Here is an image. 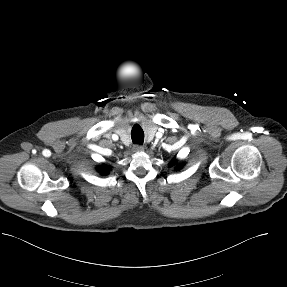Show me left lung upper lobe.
<instances>
[{"label": "left lung upper lobe", "mask_w": 287, "mask_h": 287, "mask_svg": "<svg viewBox=\"0 0 287 287\" xmlns=\"http://www.w3.org/2000/svg\"><path fill=\"white\" fill-rule=\"evenodd\" d=\"M176 163H177V160H176L175 157H174V158L171 160V162H170V166H174V165H176ZM182 166H183V164H182V165H178L177 170H178V169H181Z\"/></svg>", "instance_id": "5c2ea615"}]
</instances>
